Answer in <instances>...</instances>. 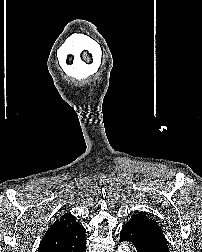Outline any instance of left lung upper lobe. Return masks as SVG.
I'll use <instances>...</instances> for the list:
<instances>
[{
    "instance_id": "obj_1",
    "label": "left lung upper lobe",
    "mask_w": 202,
    "mask_h": 252,
    "mask_svg": "<svg viewBox=\"0 0 202 252\" xmlns=\"http://www.w3.org/2000/svg\"><path fill=\"white\" fill-rule=\"evenodd\" d=\"M129 222H134V223H138V224H141L143 225L144 227H147L148 229H151L154 233L158 234L159 237L161 238V241L162 243L166 246H167V241H166V238L164 236V234L162 233V229L161 227L158 225L157 222H155L154 220L152 219H149L147 218L146 216L144 215H141V214H136V215H133L130 219Z\"/></svg>"
}]
</instances>
